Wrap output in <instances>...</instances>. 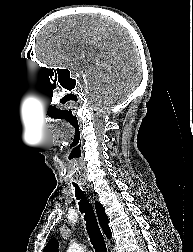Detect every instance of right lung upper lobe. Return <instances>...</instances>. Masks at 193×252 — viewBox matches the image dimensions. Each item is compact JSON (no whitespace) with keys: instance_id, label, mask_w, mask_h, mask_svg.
<instances>
[{"instance_id":"1","label":"right lung upper lobe","mask_w":193,"mask_h":252,"mask_svg":"<svg viewBox=\"0 0 193 252\" xmlns=\"http://www.w3.org/2000/svg\"><path fill=\"white\" fill-rule=\"evenodd\" d=\"M95 208L97 212V216L100 222V226L104 232V234L107 236V238H111V230L108 226V217L105 214V210L103 206L99 202H95ZM59 244L56 239H51L47 245L45 246L43 252H57L58 251Z\"/></svg>"}]
</instances>
